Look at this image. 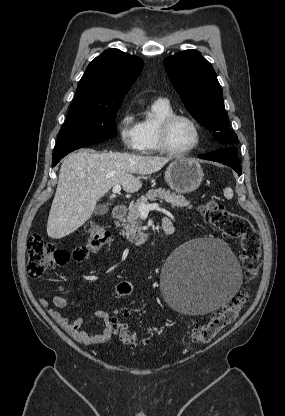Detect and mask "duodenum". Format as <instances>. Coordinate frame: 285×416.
Returning a JSON list of instances; mask_svg holds the SVG:
<instances>
[{
  "mask_svg": "<svg viewBox=\"0 0 285 416\" xmlns=\"http://www.w3.org/2000/svg\"><path fill=\"white\" fill-rule=\"evenodd\" d=\"M126 211L127 210H126L125 205H123V204L116 205L113 209V212H112L113 218L118 220V219L124 217L125 214H126ZM162 230H163L164 235L171 236L174 233V225H173L172 221L169 220V219H164L162 221Z\"/></svg>",
  "mask_w": 285,
  "mask_h": 416,
  "instance_id": "1",
  "label": "duodenum"
}]
</instances>
